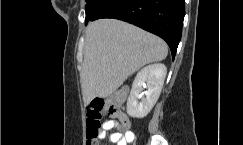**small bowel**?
I'll use <instances>...</instances> for the list:
<instances>
[{"mask_svg": "<svg viewBox=\"0 0 243 145\" xmlns=\"http://www.w3.org/2000/svg\"><path fill=\"white\" fill-rule=\"evenodd\" d=\"M118 121L114 120H105L102 124V131L98 133L97 139L102 140L106 137L107 131H110L114 127H119L122 125V120L128 121L126 115L122 112H119L118 116L116 117ZM109 139L111 142L115 143L116 145H129L132 144L135 140V134L128 130L125 133L120 132H111L109 134Z\"/></svg>", "mask_w": 243, "mask_h": 145, "instance_id": "1", "label": "small bowel"}]
</instances>
